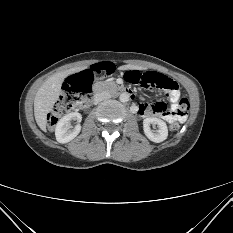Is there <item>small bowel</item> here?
I'll return each instance as SVG.
<instances>
[{
  "instance_id": "small-bowel-1",
  "label": "small bowel",
  "mask_w": 233,
  "mask_h": 233,
  "mask_svg": "<svg viewBox=\"0 0 233 233\" xmlns=\"http://www.w3.org/2000/svg\"><path fill=\"white\" fill-rule=\"evenodd\" d=\"M174 82V81H173ZM175 86L168 89V95L171 104H161L158 107L156 105L142 104L139 106V113L143 117L158 116L164 119L168 123L182 122L185 120L186 115L179 113L178 104L180 102V91L178 85L174 82Z\"/></svg>"
}]
</instances>
